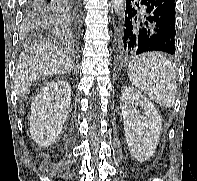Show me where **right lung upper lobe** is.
<instances>
[{
	"label": "right lung upper lobe",
	"mask_w": 197,
	"mask_h": 181,
	"mask_svg": "<svg viewBox=\"0 0 197 181\" xmlns=\"http://www.w3.org/2000/svg\"><path fill=\"white\" fill-rule=\"evenodd\" d=\"M32 27H35V28H37V29H49V28L40 27V26H32Z\"/></svg>",
	"instance_id": "right-lung-upper-lobe-1"
}]
</instances>
